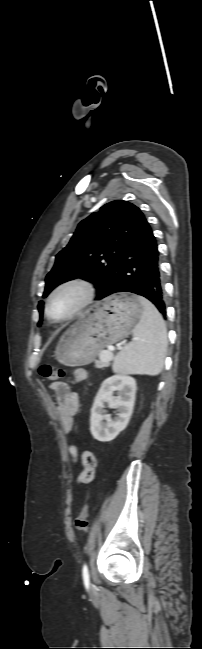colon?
<instances>
[{
	"instance_id": "colon-1",
	"label": "colon",
	"mask_w": 202,
	"mask_h": 649,
	"mask_svg": "<svg viewBox=\"0 0 202 649\" xmlns=\"http://www.w3.org/2000/svg\"><path fill=\"white\" fill-rule=\"evenodd\" d=\"M41 376L49 381L58 380L61 377V369L55 365L44 364L40 367ZM89 506L84 505L74 521L75 529L78 532H86L88 529Z\"/></svg>"
}]
</instances>
